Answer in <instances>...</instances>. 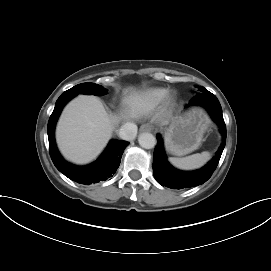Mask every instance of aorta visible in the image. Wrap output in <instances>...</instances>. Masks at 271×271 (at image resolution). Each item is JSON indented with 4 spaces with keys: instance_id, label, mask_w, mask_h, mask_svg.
<instances>
[{
    "instance_id": "1",
    "label": "aorta",
    "mask_w": 271,
    "mask_h": 271,
    "mask_svg": "<svg viewBox=\"0 0 271 271\" xmlns=\"http://www.w3.org/2000/svg\"><path fill=\"white\" fill-rule=\"evenodd\" d=\"M139 145L145 149H152L156 145V138L151 133H142L138 137Z\"/></svg>"
}]
</instances>
